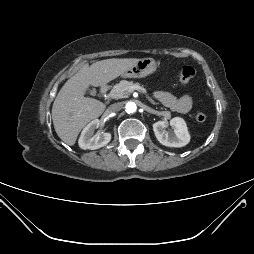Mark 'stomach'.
Returning <instances> with one entry per match:
<instances>
[{"label":"stomach","instance_id":"stomach-1","mask_svg":"<svg viewBox=\"0 0 254 254\" xmlns=\"http://www.w3.org/2000/svg\"><path fill=\"white\" fill-rule=\"evenodd\" d=\"M157 68L153 58L139 59L138 62L126 70L121 76L123 78H144L153 73Z\"/></svg>","mask_w":254,"mask_h":254}]
</instances>
